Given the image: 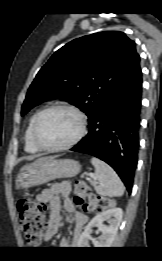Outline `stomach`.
Returning <instances> with one entry per match:
<instances>
[{
    "instance_id": "1",
    "label": "stomach",
    "mask_w": 162,
    "mask_h": 261,
    "mask_svg": "<svg viewBox=\"0 0 162 261\" xmlns=\"http://www.w3.org/2000/svg\"><path fill=\"white\" fill-rule=\"evenodd\" d=\"M81 165L73 159L44 157L35 165L22 169L17 176L19 188L41 185L57 178H71L79 174Z\"/></svg>"
}]
</instances>
